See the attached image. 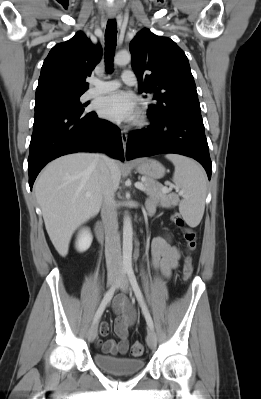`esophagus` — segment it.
<instances>
[{
    "mask_svg": "<svg viewBox=\"0 0 261 399\" xmlns=\"http://www.w3.org/2000/svg\"><path fill=\"white\" fill-rule=\"evenodd\" d=\"M108 17L110 19H114L115 18V14L114 13H109ZM121 139H122L123 149H124V152H125L126 151V146H127V140H128V135H127V132L125 130H121Z\"/></svg>",
    "mask_w": 261,
    "mask_h": 399,
    "instance_id": "esophagus-1",
    "label": "esophagus"
}]
</instances>
